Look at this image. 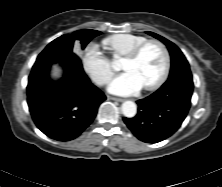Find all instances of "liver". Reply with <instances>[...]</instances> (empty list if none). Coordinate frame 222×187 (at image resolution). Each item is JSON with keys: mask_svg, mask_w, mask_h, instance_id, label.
Here are the masks:
<instances>
[{"mask_svg": "<svg viewBox=\"0 0 222 187\" xmlns=\"http://www.w3.org/2000/svg\"><path fill=\"white\" fill-rule=\"evenodd\" d=\"M60 72H61V70L57 66L53 67V70H52L53 77H56V78L59 77L60 76Z\"/></svg>", "mask_w": 222, "mask_h": 187, "instance_id": "obj_1", "label": "liver"}]
</instances>
